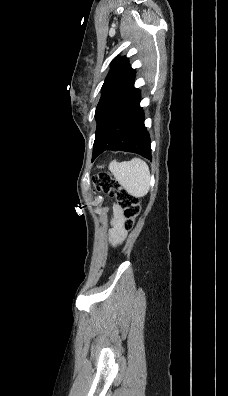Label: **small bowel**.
Listing matches in <instances>:
<instances>
[{
    "mask_svg": "<svg viewBox=\"0 0 228 396\" xmlns=\"http://www.w3.org/2000/svg\"><path fill=\"white\" fill-rule=\"evenodd\" d=\"M124 218L118 207L113 210V228L110 233V239L112 243L118 244L125 235V229L123 226Z\"/></svg>",
    "mask_w": 228,
    "mask_h": 396,
    "instance_id": "obj_1",
    "label": "small bowel"
}]
</instances>
